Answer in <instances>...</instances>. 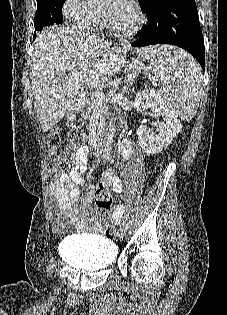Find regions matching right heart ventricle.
Listing matches in <instances>:
<instances>
[{
	"mask_svg": "<svg viewBox=\"0 0 227 315\" xmlns=\"http://www.w3.org/2000/svg\"><path fill=\"white\" fill-rule=\"evenodd\" d=\"M100 27H101V22H98L95 26H93V27H92L91 29H89V30L96 31V30H98Z\"/></svg>",
	"mask_w": 227,
	"mask_h": 315,
	"instance_id": "1",
	"label": "right heart ventricle"
}]
</instances>
